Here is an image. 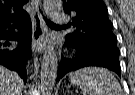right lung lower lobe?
<instances>
[{
  "mask_svg": "<svg viewBox=\"0 0 135 95\" xmlns=\"http://www.w3.org/2000/svg\"><path fill=\"white\" fill-rule=\"evenodd\" d=\"M17 30V32H15ZM9 41H17L13 46ZM32 25L27 16L21 22L0 25V65L16 71L26 82V61L31 57Z\"/></svg>",
  "mask_w": 135,
  "mask_h": 95,
  "instance_id": "1",
  "label": "right lung lower lobe"
}]
</instances>
